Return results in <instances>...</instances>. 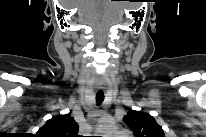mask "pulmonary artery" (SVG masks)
Returning a JSON list of instances; mask_svg holds the SVG:
<instances>
[{"label":"pulmonary artery","mask_w":206,"mask_h":137,"mask_svg":"<svg viewBox=\"0 0 206 137\" xmlns=\"http://www.w3.org/2000/svg\"><path fill=\"white\" fill-rule=\"evenodd\" d=\"M112 137H129L128 133L126 131H116L112 135Z\"/></svg>","instance_id":"pulmonary-artery-1"}]
</instances>
